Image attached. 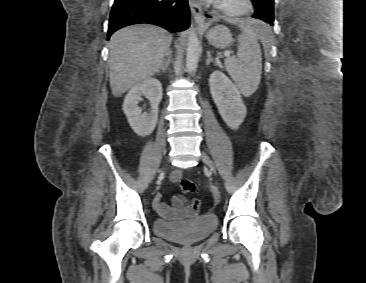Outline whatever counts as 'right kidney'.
<instances>
[{
	"label": "right kidney",
	"instance_id": "obj_1",
	"mask_svg": "<svg viewBox=\"0 0 366 283\" xmlns=\"http://www.w3.org/2000/svg\"><path fill=\"white\" fill-rule=\"evenodd\" d=\"M150 101L149 113H142L138 106L141 96ZM162 99V84L156 78H147L130 89L124 99L122 109L132 130L138 136H148L156 127L158 120V106Z\"/></svg>",
	"mask_w": 366,
	"mask_h": 283
}]
</instances>
